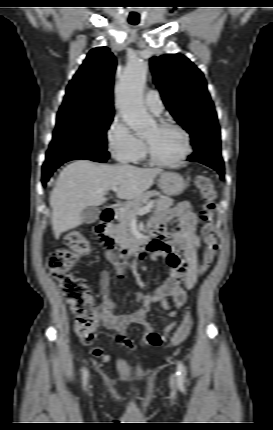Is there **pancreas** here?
<instances>
[{
  "instance_id": "pancreas-1",
  "label": "pancreas",
  "mask_w": 273,
  "mask_h": 430,
  "mask_svg": "<svg viewBox=\"0 0 273 430\" xmlns=\"http://www.w3.org/2000/svg\"><path fill=\"white\" fill-rule=\"evenodd\" d=\"M152 196L159 197L153 201V206L156 209L166 210L173 205V199L161 195L157 190L144 192L137 199L125 203L118 213L117 220L119 224L109 226V232L113 235L119 245L123 246L131 242L132 238L129 232L131 221L136 218L139 209H141L143 204Z\"/></svg>"
}]
</instances>
